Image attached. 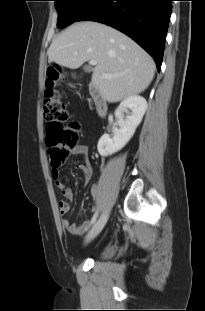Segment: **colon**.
<instances>
[{"instance_id": "colon-1", "label": "colon", "mask_w": 205, "mask_h": 311, "mask_svg": "<svg viewBox=\"0 0 205 311\" xmlns=\"http://www.w3.org/2000/svg\"><path fill=\"white\" fill-rule=\"evenodd\" d=\"M63 79L64 73L61 68L47 69L43 116L46 129L45 141L50 165L54 171L69 158L72 150L79 145L80 139V124L75 121L67 123L69 114L62 102V94L57 89V85Z\"/></svg>"}]
</instances>
